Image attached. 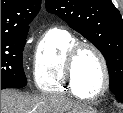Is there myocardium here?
<instances>
[{"instance_id": "f54148a6", "label": "myocardium", "mask_w": 123, "mask_h": 113, "mask_svg": "<svg viewBox=\"0 0 123 113\" xmlns=\"http://www.w3.org/2000/svg\"><path fill=\"white\" fill-rule=\"evenodd\" d=\"M84 50H91L92 52H94L97 55V57L99 58L101 65H102V69H103V77H104L103 86H102L101 90L95 94H83L82 92H80L77 82H76L75 63H76L79 55ZM64 67H65V73H66V77L69 81V84L71 85V87L74 91H76L77 93H79L81 95L82 98L96 99V98L103 96L107 92V90L109 88V84H110V72H109L108 62L106 60L105 55L101 51V49L99 47H97L96 45H94L93 43L77 42L68 52Z\"/></svg>"}]
</instances>
